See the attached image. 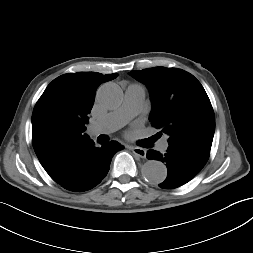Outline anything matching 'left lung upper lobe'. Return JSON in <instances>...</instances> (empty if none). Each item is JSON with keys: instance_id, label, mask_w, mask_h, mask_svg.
Segmentation results:
<instances>
[{"instance_id": "1", "label": "left lung upper lobe", "mask_w": 253, "mask_h": 253, "mask_svg": "<svg viewBox=\"0 0 253 253\" xmlns=\"http://www.w3.org/2000/svg\"><path fill=\"white\" fill-rule=\"evenodd\" d=\"M151 94L150 121L169 136L168 144L192 147L210 153L215 116L201 83L190 73L154 67L131 71Z\"/></svg>"}]
</instances>
